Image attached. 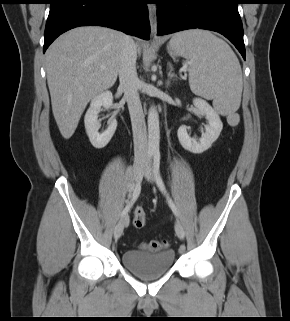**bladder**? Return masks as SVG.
Instances as JSON below:
<instances>
[{"label":"bladder","mask_w":290,"mask_h":321,"mask_svg":"<svg viewBox=\"0 0 290 321\" xmlns=\"http://www.w3.org/2000/svg\"><path fill=\"white\" fill-rule=\"evenodd\" d=\"M122 263L125 268L142 278L158 277L168 272L175 261L173 250L157 252L127 250L123 252Z\"/></svg>","instance_id":"bladder-1"}]
</instances>
